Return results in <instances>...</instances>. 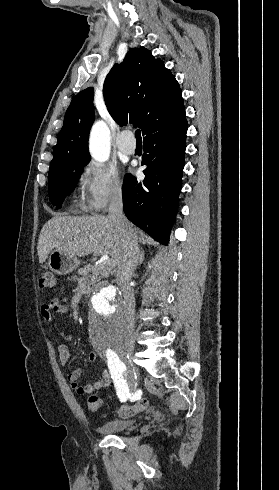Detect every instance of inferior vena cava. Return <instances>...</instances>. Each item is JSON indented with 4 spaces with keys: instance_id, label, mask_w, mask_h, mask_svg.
Here are the masks:
<instances>
[{
    "instance_id": "obj_1",
    "label": "inferior vena cava",
    "mask_w": 279,
    "mask_h": 490,
    "mask_svg": "<svg viewBox=\"0 0 279 490\" xmlns=\"http://www.w3.org/2000/svg\"><path fill=\"white\" fill-rule=\"evenodd\" d=\"M107 218L113 222L114 226H117L118 230H123V234L126 236L123 250L124 256H122L120 262L115 264V282L123 296L128 324L131 330H134L135 298L134 292L130 286V280L138 264L140 250L138 248V238L132 234L131 230H124V228H128L130 224L123 214V196L121 190L113 192L110 198L109 214Z\"/></svg>"
}]
</instances>
